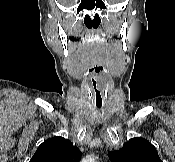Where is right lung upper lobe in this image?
<instances>
[{"instance_id":"obj_1","label":"right lung upper lobe","mask_w":175,"mask_h":162,"mask_svg":"<svg viewBox=\"0 0 175 162\" xmlns=\"http://www.w3.org/2000/svg\"><path fill=\"white\" fill-rule=\"evenodd\" d=\"M80 150L68 139L52 137L39 145L30 162H79Z\"/></svg>"}]
</instances>
